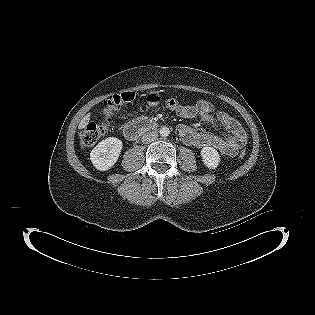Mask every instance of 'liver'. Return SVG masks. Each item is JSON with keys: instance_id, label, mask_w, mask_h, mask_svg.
I'll return each mask as SVG.
<instances>
[{"instance_id": "1", "label": "liver", "mask_w": 315, "mask_h": 315, "mask_svg": "<svg viewBox=\"0 0 315 315\" xmlns=\"http://www.w3.org/2000/svg\"><path fill=\"white\" fill-rule=\"evenodd\" d=\"M90 116H91V114H90V113H87V114L81 119V121H80V123H79V125H78V128H79V129H84V128L88 125V123H89V121H90Z\"/></svg>"}]
</instances>
